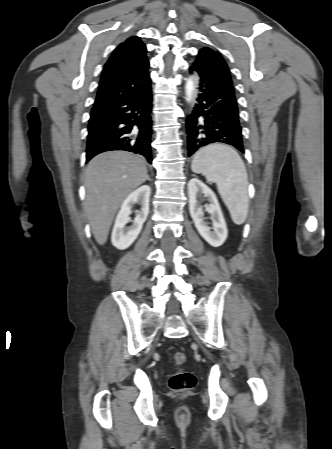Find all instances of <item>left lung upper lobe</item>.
I'll return each mask as SVG.
<instances>
[{"label":"left lung upper lobe","mask_w":332,"mask_h":449,"mask_svg":"<svg viewBox=\"0 0 332 449\" xmlns=\"http://www.w3.org/2000/svg\"><path fill=\"white\" fill-rule=\"evenodd\" d=\"M194 63L215 70L218 74L223 76L230 84H232L228 66L218 52L210 48H202L199 51V54L197 55V58Z\"/></svg>","instance_id":"obj_1"}]
</instances>
